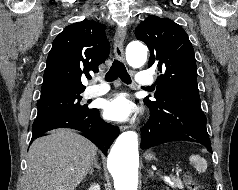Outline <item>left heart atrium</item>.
I'll return each instance as SVG.
<instances>
[{
  "instance_id": "left-heart-atrium-1",
  "label": "left heart atrium",
  "mask_w": 238,
  "mask_h": 190,
  "mask_svg": "<svg viewBox=\"0 0 238 190\" xmlns=\"http://www.w3.org/2000/svg\"><path fill=\"white\" fill-rule=\"evenodd\" d=\"M103 110L107 119L123 122L136 113L137 107L126 93H119L105 101Z\"/></svg>"
}]
</instances>
